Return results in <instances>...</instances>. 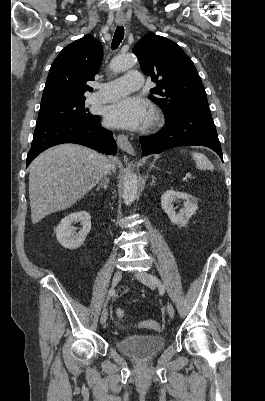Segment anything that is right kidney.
I'll use <instances>...</instances> for the list:
<instances>
[{
  "mask_svg": "<svg viewBox=\"0 0 265 401\" xmlns=\"http://www.w3.org/2000/svg\"><path fill=\"white\" fill-rule=\"evenodd\" d=\"M74 221H80L82 225L81 231L73 235L71 227ZM91 229V219L89 213L80 211V213H71L62 219L60 225L56 227V237L62 247L66 249H78L83 245L89 231Z\"/></svg>",
  "mask_w": 265,
  "mask_h": 401,
  "instance_id": "right-kidney-1",
  "label": "right kidney"
}]
</instances>
